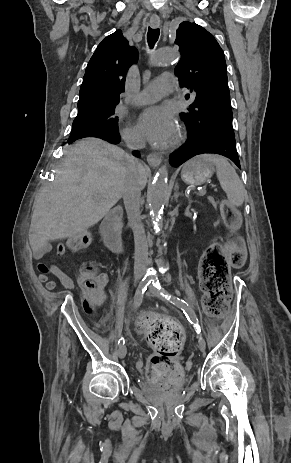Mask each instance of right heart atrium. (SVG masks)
Returning a JSON list of instances; mask_svg holds the SVG:
<instances>
[{
  "instance_id": "right-heart-atrium-1",
  "label": "right heart atrium",
  "mask_w": 291,
  "mask_h": 463,
  "mask_svg": "<svg viewBox=\"0 0 291 463\" xmlns=\"http://www.w3.org/2000/svg\"><path fill=\"white\" fill-rule=\"evenodd\" d=\"M124 136H125V138L127 140H129L131 142H135V143H137V142H139L141 140L139 132L134 127H127L124 130Z\"/></svg>"
}]
</instances>
